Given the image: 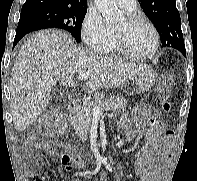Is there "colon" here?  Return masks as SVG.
<instances>
[{
	"instance_id": "1",
	"label": "colon",
	"mask_w": 197,
	"mask_h": 181,
	"mask_svg": "<svg viewBox=\"0 0 197 181\" xmlns=\"http://www.w3.org/2000/svg\"><path fill=\"white\" fill-rule=\"evenodd\" d=\"M172 84V78L169 74H163L157 83V93L164 111H169V92ZM66 119L62 115L47 114L43 116L40 122V130L45 136H55L64 131ZM72 161L69 154L63 155V162L68 166ZM69 168V167H68ZM34 181H45L43 176H38Z\"/></svg>"
}]
</instances>
